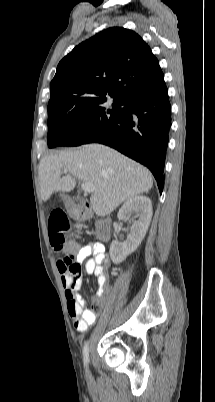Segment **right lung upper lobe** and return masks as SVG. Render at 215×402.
<instances>
[{
	"instance_id": "right-lung-upper-lobe-1",
	"label": "right lung upper lobe",
	"mask_w": 215,
	"mask_h": 402,
	"mask_svg": "<svg viewBox=\"0 0 215 402\" xmlns=\"http://www.w3.org/2000/svg\"><path fill=\"white\" fill-rule=\"evenodd\" d=\"M165 85L150 47L134 31L113 27L76 46L57 66L51 100L117 95L124 99Z\"/></svg>"
}]
</instances>
